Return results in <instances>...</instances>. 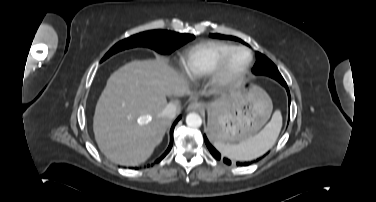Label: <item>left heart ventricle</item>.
Listing matches in <instances>:
<instances>
[{
    "mask_svg": "<svg viewBox=\"0 0 376 202\" xmlns=\"http://www.w3.org/2000/svg\"><path fill=\"white\" fill-rule=\"evenodd\" d=\"M248 54L245 52H238L232 56L228 63V71L231 73L239 71L247 62Z\"/></svg>",
    "mask_w": 376,
    "mask_h": 202,
    "instance_id": "left-heart-ventricle-1",
    "label": "left heart ventricle"
}]
</instances>
